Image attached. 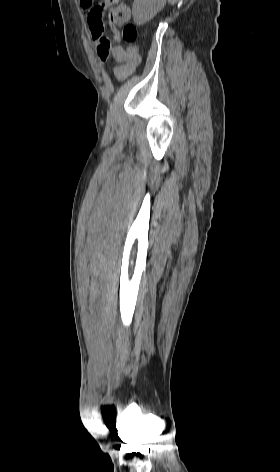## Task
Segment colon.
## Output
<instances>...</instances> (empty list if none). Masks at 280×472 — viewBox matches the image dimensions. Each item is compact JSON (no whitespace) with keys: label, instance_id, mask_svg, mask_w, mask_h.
Instances as JSON below:
<instances>
[{"label":"colon","instance_id":"1","mask_svg":"<svg viewBox=\"0 0 280 472\" xmlns=\"http://www.w3.org/2000/svg\"><path fill=\"white\" fill-rule=\"evenodd\" d=\"M119 0H103L102 4L92 6L93 5V0H82V3L86 8H90L89 14H88V22L91 24H102L103 23V15H104V10L106 7H108L111 4L117 3ZM137 28L134 24L132 23H127L123 30H122V37L124 41L127 44L126 50L129 53H133L136 51V48L134 46V42L137 39Z\"/></svg>","mask_w":280,"mask_h":472}]
</instances>
